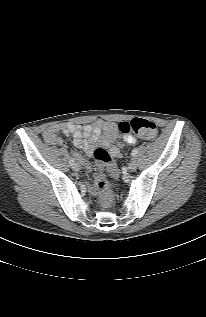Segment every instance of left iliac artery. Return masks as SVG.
Masks as SVG:
<instances>
[{
  "mask_svg": "<svg viewBox=\"0 0 206 317\" xmlns=\"http://www.w3.org/2000/svg\"><path fill=\"white\" fill-rule=\"evenodd\" d=\"M137 153H138L137 149H133L132 152H131V155L133 157H135L137 155Z\"/></svg>",
  "mask_w": 206,
  "mask_h": 317,
  "instance_id": "1",
  "label": "left iliac artery"
}]
</instances>
